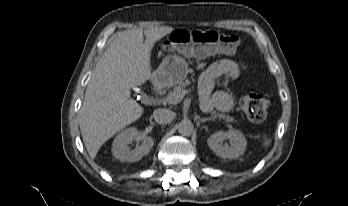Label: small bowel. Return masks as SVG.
I'll use <instances>...</instances> for the list:
<instances>
[{"label": "small bowel", "mask_w": 348, "mask_h": 206, "mask_svg": "<svg viewBox=\"0 0 348 206\" xmlns=\"http://www.w3.org/2000/svg\"><path fill=\"white\" fill-rule=\"evenodd\" d=\"M246 71L243 62L232 59H221L207 67L199 80L200 106L203 111L209 112L214 107L227 112L234 105V98L231 93L219 90L212 94L216 82L228 83L242 76Z\"/></svg>", "instance_id": "c3829d8e"}]
</instances>
